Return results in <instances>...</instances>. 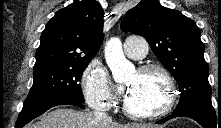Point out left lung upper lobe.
I'll use <instances>...</instances> for the list:
<instances>
[{"label": "left lung upper lobe", "mask_w": 221, "mask_h": 128, "mask_svg": "<svg viewBox=\"0 0 221 128\" xmlns=\"http://www.w3.org/2000/svg\"><path fill=\"white\" fill-rule=\"evenodd\" d=\"M121 29L144 37L173 75L181 98L174 112L192 106L212 107L204 44L196 23L158 0H142L124 16Z\"/></svg>", "instance_id": "left-lung-upper-lobe-1"}]
</instances>
